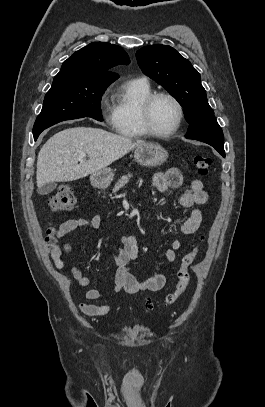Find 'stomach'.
<instances>
[{"label":"stomach","instance_id":"0dacf381","mask_svg":"<svg viewBox=\"0 0 265 407\" xmlns=\"http://www.w3.org/2000/svg\"><path fill=\"white\" fill-rule=\"evenodd\" d=\"M134 158L142 166L156 167L162 165L168 158L166 150L156 143H145L137 146L134 151ZM114 173L111 168H104L94 172L90 176L92 186L105 189L112 182Z\"/></svg>","mask_w":265,"mask_h":407}]
</instances>
